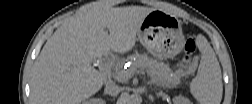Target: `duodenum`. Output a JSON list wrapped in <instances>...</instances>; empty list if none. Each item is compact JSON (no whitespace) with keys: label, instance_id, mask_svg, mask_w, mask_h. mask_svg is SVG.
<instances>
[{"label":"duodenum","instance_id":"duodenum-1","mask_svg":"<svg viewBox=\"0 0 252 104\" xmlns=\"http://www.w3.org/2000/svg\"><path fill=\"white\" fill-rule=\"evenodd\" d=\"M103 60L108 61L109 57H104Z\"/></svg>","mask_w":252,"mask_h":104}]
</instances>
